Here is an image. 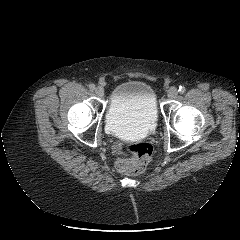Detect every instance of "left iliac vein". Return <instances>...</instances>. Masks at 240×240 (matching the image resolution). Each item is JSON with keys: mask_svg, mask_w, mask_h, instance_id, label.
<instances>
[{"mask_svg": "<svg viewBox=\"0 0 240 240\" xmlns=\"http://www.w3.org/2000/svg\"><path fill=\"white\" fill-rule=\"evenodd\" d=\"M177 94H178V90L176 87H171L167 93L170 99H174L177 96Z\"/></svg>", "mask_w": 240, "mask_h": 240, "instance_id": "4c4485c4", "label": "left iliac vein"}]
</instances>
